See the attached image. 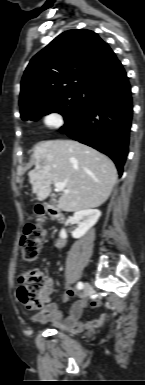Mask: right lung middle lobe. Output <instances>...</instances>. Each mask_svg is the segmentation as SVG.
I'll use <instances>...</instances> for the list:
<instances>
[{"label": "right lung middle lobe", "instance_id": "dd1d6c3e", "mask_svg": "<svg viewBox=\"0 0 145 385\" xmlns=\"http://www.w3.org/2000/svg\"><path fill=\"white\" fill-rule=\"evenodd\" d=\"M91 91L85 89H75L69 91L52 101L30 109L21 116L23 120H38L42 115L57 112L63 115L66 124L70 122L77 113L85 106L90 98Z\"/></svg>", "mask_w": 145, "mask_h": 385}]
</instances>
